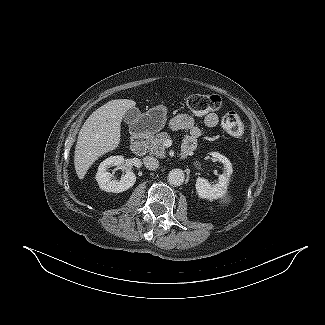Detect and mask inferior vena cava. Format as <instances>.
I'll return each instance as SVG.
<instances>
[{
  "label": "inferior vena cava",
  "instance_id": "602c4592",
  "mask_svg": "<svg viewBox=\"0 0 325 325\" xmlns=\"http://www.w3.org/2000/svg\"><path fill=\"white\" fill-rule=\"evenodd\" d=\"M143 162L145 167L149 170H156L159 167V161L152 156L144 157Z\"/></svg>",
  "mask_w": 325,
  "mask_h": 325
}]
</instances>
